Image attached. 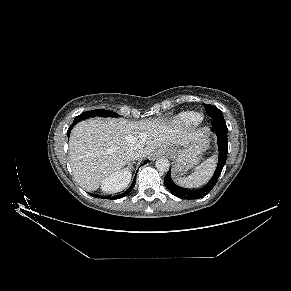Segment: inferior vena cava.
Returning <instances> with one entry per match:
<instances>
[{"label":"inferior vena cava","mask_w":291,"mask_h":291,"mask_svg":"<svg viewBox=\"0 0 291 291\" xmlns=\"http://www.w3.org/2000/svg\"><path fill=\"white\" fill-rule=\"evenodd\" d=\"M143 153V149L141 146H135V147H131L128 150V157L130 158V160H136L139 159L142 156Z\"/></svg>","instance_id":"602c4592"}]
</instances>
